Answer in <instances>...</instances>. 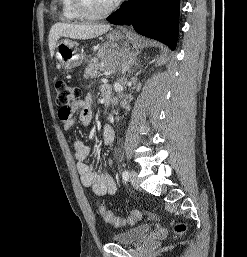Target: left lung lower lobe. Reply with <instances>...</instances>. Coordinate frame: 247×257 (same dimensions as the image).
Here are the masks:
<instances>
[{
  "label": "left lung lower lobe",
  "instance_id": "obj_1",
  "mask_svg": "<svg viewBox=\"0 0 247 257\" xmlns=\"http://www.w3.org/2000/svg\"><path fill=\"white\" fill-rule=\"evenodd\" d=\"M180 0H129L107 19L113 24L132 25L139 34L176 47Z\"/></svg>",
  "mask_w": 247,
  "mask_h": 257
}]
</instances>
